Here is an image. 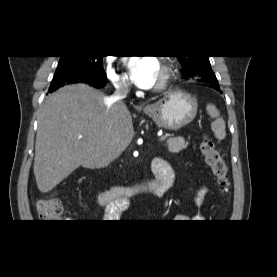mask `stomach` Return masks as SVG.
Instances as JSON below:
<instances>
[{
	"instance_id": "0dacf381",
	"label": "stomach",
	"mask_w": 277,
	"mask_h": 277,
	"mask_svg": "<svg viewBox=\"0 0 277 277\" xmlns=\"http://www.w3.org/2000/svg\"><path fill=\"white\" fill-rule=\"evenodd\" d=\"M197 100L190 94L175 90L147 106L144 112L160 128L176 131L188 125L197 114Z\"/></svg>"
}]
</instances>
